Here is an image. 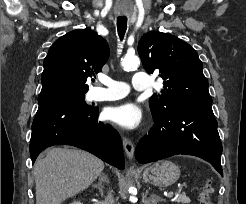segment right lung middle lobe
<instances>
[{
	"instance_id": "dd1d6c3e",
	"label": "right lung middle lobe",
	"mask_w": 246,
	"mask_h": 204,
	"mask_svg": "<svg viewBox=\"0 0 246 204\" xmlns=\"http://www.w3.org/2000/svg\"><path fill=\"white\" fill-rule=\"evenodd\" d=\"M58 97H73V98H77L83 101L84 106L86 107H90L89 105L86 104V102L84 101L85 98V93H69V94H63L60 95Z\"/></svg>"
}]
</instances>
